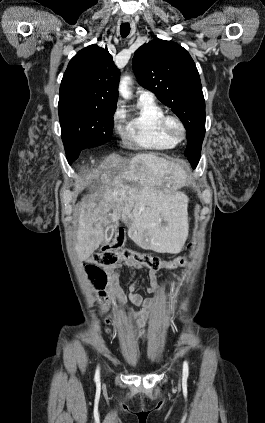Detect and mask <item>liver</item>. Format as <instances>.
I'll use <instances>...</instances> for the list:
<instances>
[{
    "mask_svg": "<svg viewBox=\"0 0 265 423\" xmlns=\"http://www.w3.org/2000/svg\"><path fill=\"white\" fill-rule=\"evenodd\" d=\"M95 179L99 190L83 199L79 209L74 249L80 261L103 242L104 227L119 219L144 249L170 254L182 250L189 232L188 198L178 191L187 180L183 164L154 153H139L127 164L111 154L100 162Z\"/></svg>",
    "mask_w": 265,
    "mask_h": 423,
    "instance_id": "obj_1",
    "label": "liver"
}]
</instances>
